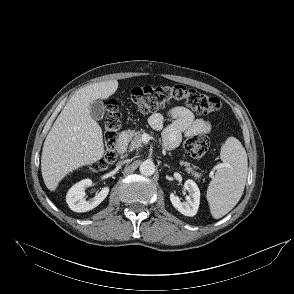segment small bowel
Segmentation results:
<instances>
[{"label": "small bowel", "instance_id": "small-bowel-1", "mask_svg": "<svg viewBox=\"0 0 294 294\" xmlns=\"http://www.w3.org/2000/svg\"><path fill=\"white\" fill-rule=\"evenodd\" d=\"M172 123L164 127V117L155 113L149 117V124L155 130H163L164 146L173 149L179 145L183 136L207 134L212 130V123L196 119L194 114L183 106L172 107L168 112Z\"/></svg>", "mask_w": 294, "mask_h": 294}]
</instances>
